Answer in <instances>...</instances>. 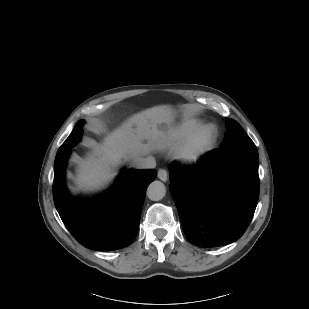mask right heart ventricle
Listing matches in <instances>:
<instances>
[{
  "label": "right heart ventricle",
  "instance_id": "1",
  "mask_svg": "<svg viewBox=\"0 0 309 309\" xmlns=\"http://www.w3.org/2000/svg\"><path fill=\"white\" fill-rule=\"evenodd\" d=\"M200 125L201 122L197 120H190L180 124L165 135L164 146L168 149L178 147Z\"/></svg>",
  "mask_w": 309,
  "mask_h": 309
}]
</instances>
